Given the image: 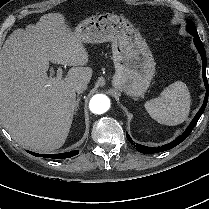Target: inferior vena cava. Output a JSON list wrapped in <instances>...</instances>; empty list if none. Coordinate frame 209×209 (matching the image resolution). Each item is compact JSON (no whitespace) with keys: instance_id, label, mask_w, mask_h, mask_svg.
I'll list each match as a JSON object with an SVG mask.
<instances>
[{"instance_id":"602c4592","label":"inferior vena cava","mask_w":209,"mask_h":209,"mask_svg":"<svg viewBox=\"0 0 209 209\" xmlns=\"http://www.w3.org/2000/svg\"><path fill=\"white\" fill-rule=\"evenodd\" d=\"M88 83L86 82H79L76 86H75V91L80 94L83 93L86 89H87Z\"/></svg>"}]
</instances>
